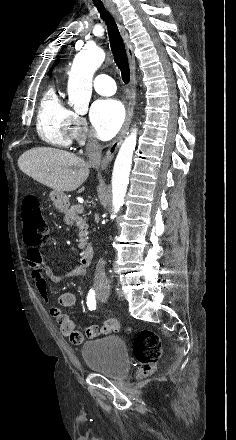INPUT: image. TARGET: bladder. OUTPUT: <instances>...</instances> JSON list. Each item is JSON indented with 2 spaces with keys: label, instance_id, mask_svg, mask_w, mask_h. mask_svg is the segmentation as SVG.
I'll use <instances>...</instances> for the list:
<instances>
[{
  "label": "bladder",
  "instance_id": "obj_1",
  "mask_svg": "<svg viewBox=\"0 0 236 440\" xmlns=\"http://www.w3.org/2000/svg\"><path fill=\"white\" fill-rule=\"evenodd\" d=\"M86 366L110 378H118L129 369V355L124 340L117 336H105L87 341L81 348Z\"/></svg>",
  "mask_w": 236,
  "mask_h": 440
}]
</instances>
